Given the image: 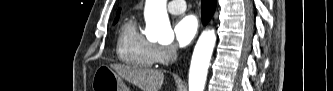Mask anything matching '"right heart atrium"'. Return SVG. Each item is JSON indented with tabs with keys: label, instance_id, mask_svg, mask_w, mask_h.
<instances>
[{
	"label": "right heart atrium",
	"instance_id": "1",
	"mask_svg": "<svg viewBox=\"0 0 333 91\" xmlns=\"http://www.w3.org/2000/svg\"><path fill=\"white\" fill-rule=\"evenodd\" d=\"M176 53V48L173 45H156L154 47L155 62L167 64L175 58Z\"/></svg>",
	"mask_w": 333,
	"mask_h": 91
}]
</instances>
